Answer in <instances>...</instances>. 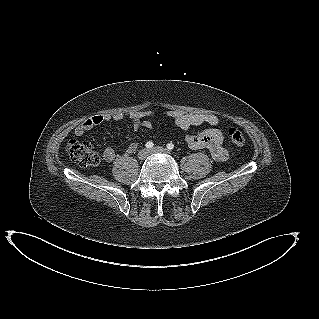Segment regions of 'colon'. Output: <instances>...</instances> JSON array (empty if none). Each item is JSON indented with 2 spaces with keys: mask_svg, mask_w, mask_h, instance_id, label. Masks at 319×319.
Listing matches in <instances>:
<instances>
[{
  "mask_svg": "<svg viewBox=\"0 0 319 319\" xmlns=\"http://www.w3.org/2000/svg\"><path fill=\"white\" fill-rule=\"evenodd\" d=\"M228 136L237 146H243L246 142L245 136L236 128H229ZM65 151L72 161L82 167L94 166L99 162L98 155L86 141L71 139L67 142Z\"/></svg>",
  "mask_w": 319,
  "mask_h": 319,
  "instance_id": "colon-1",
  "label": "colon"
}]
</instances>
